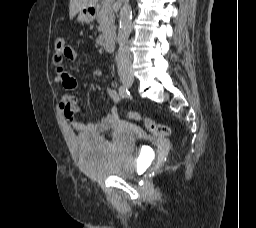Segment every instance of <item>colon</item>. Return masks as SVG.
<instances>
[{
  "mask_svg": "<svg viewBox=\"0 0 256 228\" xmlns=\"http://www.w3.org/2000/svg\"><path fill=\"white\" fill-rule=\"evenodd\" d=\"M68 49V45L66 44L63 38H56L54 42V50L55 55L62 57L65 55ZM129 117L135 121L143 122L145 128L152 134L160 137L168 136L171 132L170 128L167 125L157 123L151 119L145 118L138 111L129 112Z\"/></svg>",
  "mask_w": 256,
  "mask_h": 228,
  "instance_id": "5ec220e1",
  "label": "colon"
}]
</instances>
